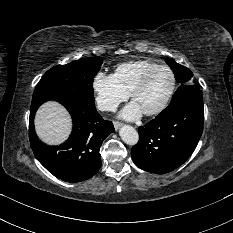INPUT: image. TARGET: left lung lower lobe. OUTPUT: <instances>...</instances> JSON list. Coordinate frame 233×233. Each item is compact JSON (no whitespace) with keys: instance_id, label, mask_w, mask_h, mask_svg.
Here are the masks:
<instances>
[{"instance_id":"left-lung-lower-lobe-1","label":"left lung lower lobe","mask_w":233,"mask_h":233,"mask_svg":"<svg viewBox=\"0 0 233 233\" xmlns=\"http://www.w3.org/2000/svg\"><path fill=\"white\" fill-rule=\"evenodd\" d=\"M202 93L193 92L163 114L138 128L139 142L131 157L141 169L165 174L181 166L192 154L203 132Z\"/></svg>"}]
</instances>
